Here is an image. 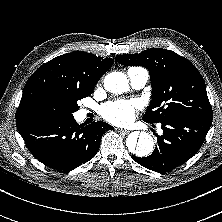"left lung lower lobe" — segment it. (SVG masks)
Instances as JSON below:
<instances>
[{"label":"left lung lower lobe","mask_w":222,"mask_h":222,"mask_svg":"<svg viewBox=\"0 0 222 222\" xmlns=\"http://www.w3.org/2000/svg\"><path fill=\"white\" fill-rule=\"evenodd\" d=\"M212 116L180 114L160 122L163 135L157 136L154 152L145 158L132 159L152 171H171L195 155L202 146L212 124Z\"/></svg>","instance_id":"1"}]
</instances>
